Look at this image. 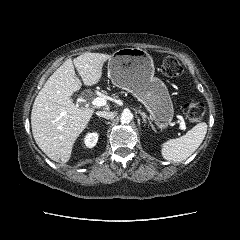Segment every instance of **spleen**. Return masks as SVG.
I'll return each mask as SVG.
<instances>
[{
  "label": "spleen",
  "instance_id": "obj_1",
  "mask_svg": "<svg viewBox=\"0 0 240 240\" xmlns=\"http://www.w3.org/2000/svg\"><path fill=\"white\" fill-rule=\"evenodd\" d=\"M205 122L195 125L185 135L172 138L161 145V154L165 160L181 162L191 156L203 142L207 133Z\"/></svg>",
  "mask_w": 240,
  "mask_h": 240
}]
</instances>
